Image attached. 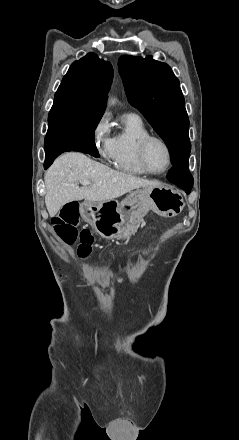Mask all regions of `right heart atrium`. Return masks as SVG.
I'll return each mask as SVG.
<instances>
[{
  "instance_id": "obj_1",
  "label": "right heart atrium",
  "mask_w": 239,
  "mask_h": 440,
  "mask_svg": "<svg viewBox=\"0 0 239 440\" xmlns=\"http://www.w3.org/2000/svg\"><path fill=\"white\" fill-rule=\"evenodd\" d=\"M90 141L102 159H109L113 152V137L110 134L109 119L100 116L90 129Z\"/></svg>"
}]
</instances>
